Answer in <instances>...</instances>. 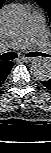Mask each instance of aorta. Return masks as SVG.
<instances>
[{
    "label": "aorta",
    "instance_id": "obj_1",
    "mask_svg": "<svg viewBox=\"0 0 51 153\" xmlns=\"http://www.w3.org/2000/svg\"><path fill=\"white\" fill-rule=\"evenodd\" d=\"M1 24L5 33H22L28 26V14L18 5L6 6L1 13ZM31 73L40 81L51 78V62L45 57H38L31 63Z\"/></svg>",
    "mask_w": 51,
    "mask_h": 153
}]
</instances>
